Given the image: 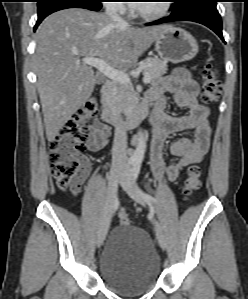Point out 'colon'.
Returning a JSON list of instances; mask_svg holds the SVG:
<instances>
[{"label":"colon","instance_id":"obj_1","mask_svg":"<svg viewBox=\"0 0 248 299\" xmlns=\"http://www.w3.org/2000/svg\"><path fill=\"white\" fill-rule=\"evenodd\" d=\"M221 84L215 76L211 64L202 69L201 102L209 104L218 98ZM99 114V105L96 97L89 98L69 119L56 137L49 144L51 172L56 179L59 189L77 192L86 176L81 156L86 146L87 130L85 124L88 120ZM202 172L199 166L188 168L183 186L185 196H191L201 186ZM118 221L122 226L130 225L129 217L120 213Z\"/></svg>","mask_w":248,"mask_h":299}]
</instances>
